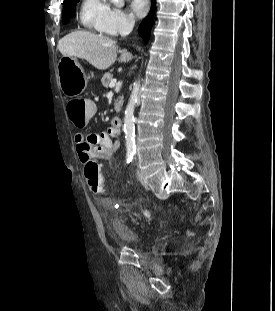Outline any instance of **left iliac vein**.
<instances>
[{
  "label": "left iliac vein",
  "instance_id": "left-iliac-vein-1",
  "mask_svg": "<svg viewBox=\"0 0 275 311\" xmlns=\"http://www.w3.org/2000/svg\"><path fill=\"white\" fill-rule=\"evenodd\" d=\"M137 177H138V180L140 181V183L142 185H145L144 178H143V176H142V174H141L139 169H137Z\"/></svg>",
  "mask_w": 275,
  "mask_h": 311
}]
</instances>
